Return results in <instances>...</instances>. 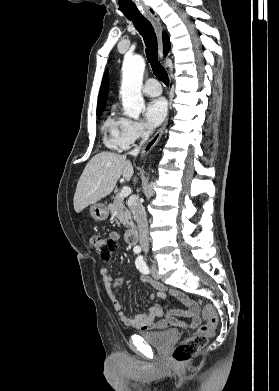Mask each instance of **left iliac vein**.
I'll return each mask as SVG.
<instances>
[{
  "label": "left iliac vein",
  "instance_id": "obj_1",
  "mask_svg": "<svg viewBox=\"0 0 279 391\" xmlns=\"http://www.w3.org/2000/svg\"><path fill=\"white\" fill-rule=\"evenodd\" d=\"M151 274L154 279H159V274L155 265L151 267Z\"/></svg>",
  "mask_w": 279,
  "mask_h": 391
}]
</instances>
